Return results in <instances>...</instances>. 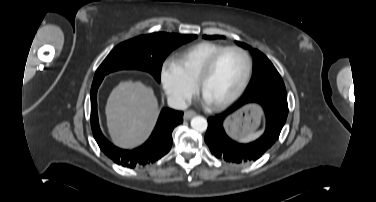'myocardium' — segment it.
I'll use <instances>...</instances> for the list:
<instances>
[{"instance_id":"f54148a6","label":"myocardium","mask_w":376,"mask_h":202,"mask_svg":"<svg viewBox=\"0 0 376 202\" xmlns=\"http://www.w3.org/2000/svg\"><path fill=\"white\" fill-rule=\"evenodd\" d=\"M231 51L237 52L244 57L245 62H246L245 74H244V77L242 79L240 86L233 94H231L229 97H227L226 99L218 103H209V106L214 110L225 109L228 106H230L233 102H235L243 94V92L247 88L248 83L250 81V77H251L252 69H253V61H252L250 54L242 47L227 46L221 49L220 51H218L216 54H214L202 67L195 82L198 91L203 96V85L206 79L212 73V71L214 70L215 66L217 65L221 57L227 52H231Z\"/></svg>"}]
</instances>
